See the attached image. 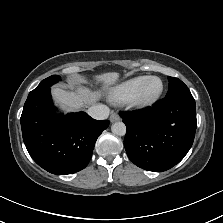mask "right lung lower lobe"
Instances as JSON below:
<instances>
[{"label":"right lung lower lobe","mask_w":223,"mask_h":223,"mask_svg":"<svg viewBox=\"0 0 223 223\" xmlns=\"http://www.w3.org/2000/svg\"><path fill=\"white\" fill-rule=\"evenodd\" d=\"M50 87L30 94L21 115L25 146L33 160L46 171L67 175L84 169L95 142L109 126L84 112L55 115Z\"/></svg>","instance_id":"1"}]
</instances>
